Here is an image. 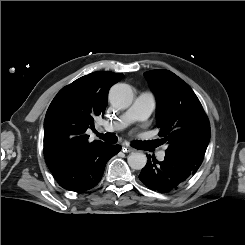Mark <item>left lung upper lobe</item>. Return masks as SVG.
Wrapping results in <instances>:
<instances>
[{"label":"left lung upper lobe","mask_w":245,"mask_h":245,"mask_svg":"<svg viewBox=\"0 0 245 245\" xmlns=\"http://www.w3.org/2000/svg\"><path fill=\"white\" fill-rule=\"evenodd\" d=\"M157 94V127L166 152L203 161L210 141L209 121L197 96L181 78L167 70L144 73Z\"/></svg>","instance_id":"1"}]
</instances>
